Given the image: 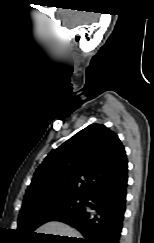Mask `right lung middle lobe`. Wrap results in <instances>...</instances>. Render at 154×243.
I'll return each mask as SVG.
<instances>
[{"label":"right lung middle lobe","instance_id":"obj_1","mask_svg":"<svg viewBox=\"0 0 154 243\" xmlns=\"http://www.w3.org/2000/svg\"><path fill=\"white\" fill-rule=\"evenodd\" d=\"M85 204V197L61 195L23 205L19 214L17 231L30 236L40 225L54 221L56 217L76 211Z\"/></svg>","mask_w":154,"mask_h":243}]
</instances>
